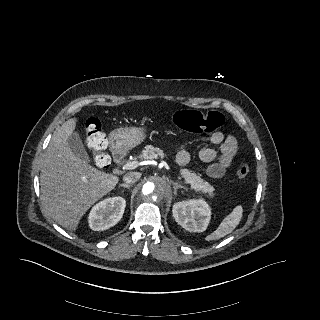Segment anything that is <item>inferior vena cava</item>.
<instances>
[{
	"label": "inferior vena cava",
	"mask_w": 320,
	"mask_h": 320,
	"mask_svg": "<svg viewBox=\"0 0 320 320\" xmlns=\"http://www.w3.org/2000/svg\"><path fill=\"white\" fill-rule=\"evenodd\" d=\"M141 177V173L139 172H128L124 177L123 181L127 184L135 183Z\"/></svg>",
	"instance_id": "obj_1"
}]
</instances>
